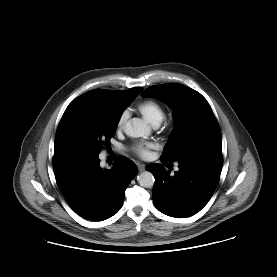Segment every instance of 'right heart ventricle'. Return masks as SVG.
I'll list each match as a JSON object with an SVG mask.
<instances>
[{
    "mask_svg": "<svg viewBox=\"0 0 277 277\" xmlns=\"http://www.w3.org/2000/svg\"><path fill=\"white\" fill-rule=\"evenodd\" d=\"M137 110L153 126H158L165 117L163 106L156 100L147 99L137 105Z\"/></svg>",
    "mask_w": 277,
    "mask_h": 277,
    "instance_id": "obj_1",
    "label": "right heart ventricle"
}]
</instances>
